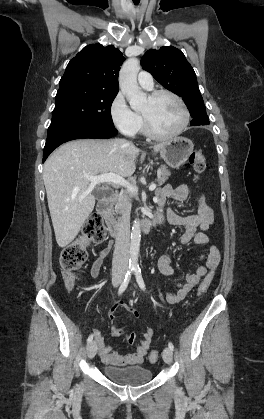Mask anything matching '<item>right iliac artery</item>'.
I'll return each mask as SVG.
<instances>
[{"label": "right iliac artery", "mask_w": 264, "mask_h": 419, "mask_svg": "<svg viewBox=\"0 0 264 419\" xmlns=\"http://www.w3.org/2000/svg\"><path fill=\"white\" fill-rule=\"evenodd\" d=\"M132 270H133V268H129V270L127 271V273L125 275V278H124L122 284L119 287V290H118L119 295H121L126 290L128 284L130 282V279H131ZM92 340H93V335L91 334L87 339V343L89 344Z\"/></svg>", "instance_id": "obj_1"}]
</instances>
